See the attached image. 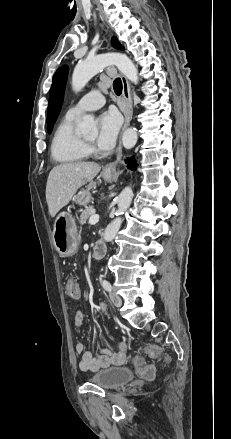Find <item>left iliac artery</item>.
I'll use <instances>...</instances> for the list:
<instances>
[{
  "label": "left iliac artery",
  "instance_id": "left-iliac-artery-1",
  "mask_svg": "<svg viewBox=\"0 0 231 439\" xmlns=\"http://www.w3.org/2000/svg\"><path fill=\"white\" fill-rule=\"evenodd\" d=\"M102 285L106 291H111V284L107 280H103Z\"/></svg>",
  "mask_w": 231,
  "mask_h": 439
}]
</instances>
